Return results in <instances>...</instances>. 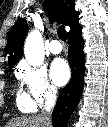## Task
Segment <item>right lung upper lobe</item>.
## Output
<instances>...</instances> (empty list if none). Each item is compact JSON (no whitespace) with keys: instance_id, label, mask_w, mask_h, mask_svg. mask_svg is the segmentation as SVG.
<instances>
[{"instance_id":"obj_1","label":"right lung upper lobe","mask_w":108,"mask_h":127,"mask_svg":"<svg viewBox=\"0 0 108 127\" xmlns=\"http://www.w3.org/2000/svg\"><path fill=\"white\" fill-rule=\"evenodd\" d=\"M44 11L52 21L62 23L71 28V31L79 25V13L75 11L74 0H45ZM28 31L25 19H19L13 26L5 48L9 54V66H14L23 54V43ZM69 33V32H68Z\"/></svg>"}]
</instances>
